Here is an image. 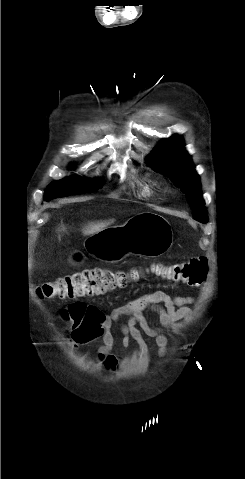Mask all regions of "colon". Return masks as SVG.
Returning a JSON list of instances; mask_svg holds the SVG:
<instances>
[{
    "instance_id": "1",
    "label": "colon",
    "mask_w": 245,
    "mask_h": 479,
    "mask_svg": "<svg viewBox=\"0 0 245 479\" xmlns=\"http://www.w3.org/2000/svg\"><path fill=\"white\" fill-rule=\"evenodd\" d=\"M155 273L166 280L190 286L202 284L207 276L208 261L203 256L194 257L170 265H156ZM137 270L120 271L93 268L59 277L40 285L39 297L44 299H83L101 295L127 286L139 278ZM87 304L76 302L62 311V318L70 324L74 338L87 322Z\"/></svg>"
}]
</instances>
